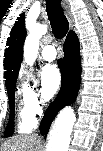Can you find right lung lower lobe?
Returning <instances> with one entry per match:
<instances>
[{
	"instance_id": "obj_1",
	"label": "right lung lower lobe",
	"mask_w": 103,
	"mask_h": 151,
	"mask_svg": "<svg viewBox=\"0 0 103 151\" xmlns=\"http://www.w3.org/2000/svg\"><path fill=\"white\" fill-rule=\"evenodd\" d=\"M63 49L65 56L58 62L62 76V86L55 101L51 103L42 119L40 124V132L42 135L47 134L51 121L57 112L76 99L80 86L81 58L77 37L73 36V38H67Z\"/></svg>"
}]
</instances>
